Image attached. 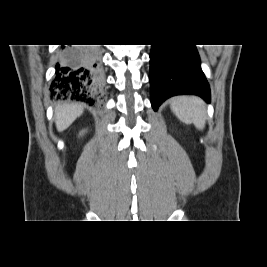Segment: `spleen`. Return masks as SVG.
<instances>
[{
	"label": "spleen",
	"instance_id": "spleen-1",
	"mask_svg": "<svg viewBox=\"0 0 267 267\" xmlns=\"http://www.w3.org/2000/svg\"><path fill=\"white\" fill-rule=\"evenodd\" d=\"M171 110L185 124L193 123L200 130L205 127L206 110L200 98L193 96L176 97L171 101Z\"/></svg>",
	"mask_w": 267,
	"mask_h": 267
}]
</instances>
